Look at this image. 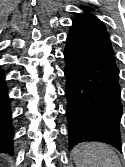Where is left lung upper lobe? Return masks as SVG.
<instances>
[{"mask_svg":"<svg viewBox=\"0 0 125 167\" xmlns=\"http://www.w3.org/2000/svg\"><path fill=\"white\" fill-rule=\"evenodd\" d=\"M85 10H86L87 12L93 11V10H92L91 8H89V7L85 8ZM85 14H89V13H84V14H80V15H85ZM80 15H78V16H80Z\"/></svg>","mask_w":125,"mask_h":167,"instance_id":"5c2ea615","label":"left lung upper lobe"}]
</instances>
